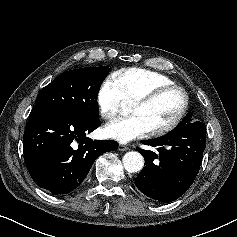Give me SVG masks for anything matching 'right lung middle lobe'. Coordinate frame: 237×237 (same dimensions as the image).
Wrapping results in <instances>:
<instances>
[{"mask_svg":"<svg viewBox=\"0 0 237 237\" xmlns=\"http://www.w3.org/2000/svg\"><path fill=\"white\" fill-rule=\"evenodd\" d=\"M109 72L108 66L64 72L42 90L34 107L53 109L81 120H97V95Z\"/></svg>","mask_w":237,"mask_h":237,"instance_id":"1","label":"right lung middle lobe"}]
</instances>
